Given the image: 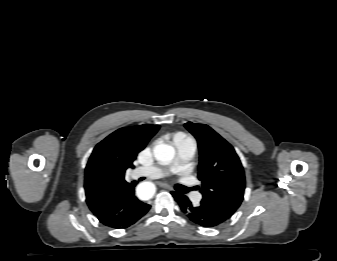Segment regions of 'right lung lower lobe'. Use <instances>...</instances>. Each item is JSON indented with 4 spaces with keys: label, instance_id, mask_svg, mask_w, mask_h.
<instances>
[{
    "label": "right lung lower lobe",
    "instance_id": "98d812e1",
    "mask_svg": "<svg viewBox=\"0 0 337 261\" xmlns=\"http://www.w3.org/2000/svg\"><path fill=\"white\" fill-rule=\"evenodd\" d=\"M137 182L128 183L97 216L105 226L122 229L136 223L150 209V205L137 199L134 187Z\"/></svg>",
    "mask_w": 337,
    "mask_h": 261
}]
</instances>
